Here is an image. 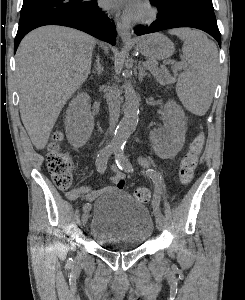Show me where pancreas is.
<instances>
[{
    "instance_id": "1",
    "label": "pancreas",
    "mask_w": 245,
    "mask_h": 300,
    "mask_svg": "<svg viewBox=\"0 0 245 300\" xmlns=\"http://www.w3.org/2000/svg\"><path fill=\"white\" fill-rule=\"evenodd\" d=\"M147 62L151 63L149 69L160 84H172L176 80V78L171 77L167 71L163 69H159L156 66V62L154 61H147ZM176 69H179L178 66H176Z\"/></svg>"
}]
</instances>
